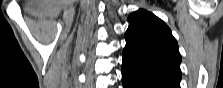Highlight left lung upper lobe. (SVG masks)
Instances as JSON below:
<instances>
[{
    "label": "left lung upper lobe",
    "instance_id": "left-lung-upper-lobe-1",
    "mask_svg": "<svg viewBox=\"0 0 223 88\" xmlns=\"http://www.w3.org/2000/svg\"><path fill=\"white\" fill-rule=\"evenodd\" d=\"M128 20L123 65L180 83L181 55L169 27L143 9L132 13Z\"/></svg>",
    "mask_w": 223,
    "mask_h": 88
}]
</instances>
